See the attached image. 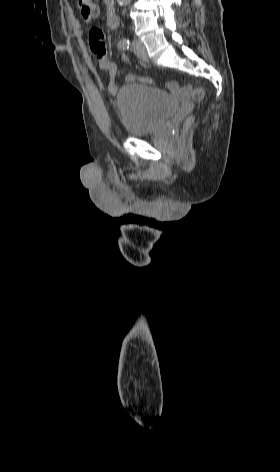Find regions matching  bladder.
Wrapping results in <instances>:
<instances>
[{"label":"bladder","mask_w":280,"mask_h":472,"mask_svg":"<svg viewBox=\"0 0 280 472\" xmlns=\"http://www.w3.org/2000/svg\"><path fill=\"white\" fill-rule=\"evenodd\" d=\"M178 106L169 93L136 83L123 85L116 95V107L128 137H141L158 130Z\"/></svg>","instance_id":"31cf9c89"}]
</instances>
